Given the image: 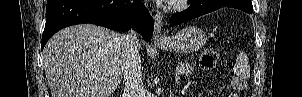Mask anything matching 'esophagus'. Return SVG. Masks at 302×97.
I'll return each instance as SVG.
<instances>
[{
    "label": "esophagus",
    "mask_w": 302,
    "mask_h": 97,
    "mask_svg": "<svg viewBox=\"0 0 302 97\" xmlns=\"http://www.w3.org/2000/svg\"><path fill=\"white\" fill-rule=\"evenodd\" d=\"M154 34L153 41L155 43H160L166 40V37L162 33V17L160 14H155L154 16Z\"/></svg>",
    "instance_id": "obj_1"
}]
</instances>
